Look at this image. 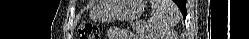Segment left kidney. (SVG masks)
I'll use <instances>...</instances> for the list:
<instances>
[{"label":"left kidney","instance_id":"5707ae66","mask_svg":"<svg viewBox=\"0 0 249 39\" xmlns=\"http://www.w3.org/2000/svg\"><path fill=\"white\" fill-rule=\"evenodd\" d=\"M151 39H170V34H163L161 37H157L154 34H151Z\"/></svg>","mask_w":249,"mask_h":39}]
</instances>
